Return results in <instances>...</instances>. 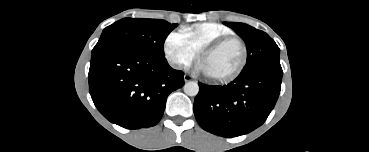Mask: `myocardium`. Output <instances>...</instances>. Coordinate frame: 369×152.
I'll list each match as a JSON object with an SVG mask.
<instances>
[{"label":"myocardium","mask_w":369,"mask_h":152,"mask_svg":"<svg viewBox=\"0 0 369 152\" xmlns=\"http://www.w3.org/2000/svg\"><path fill=\"white\" fill-rule=\"evenodd\" d=\"M231 41H235L237 42L242 50V58L241 61L238 65V67L232 71L231 73L224 75V76H219V77H212V76H208V79L214 83H226V82H230L234 79H236L244 70L247 61H248V48L246 43L244 42V40L238 36L235 35H228V36H224L221 38H218L216 40H214L213 42L209 43L208 45H206L205 47L202 48V50L199 52V60H202V58L208 54L211 53L217 49H219L220 47H222L223 45H225L228 42Z\"/></svg>","instance_id":"1"}]
</instances>
